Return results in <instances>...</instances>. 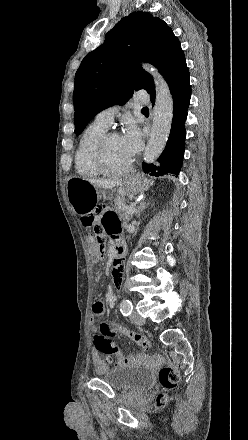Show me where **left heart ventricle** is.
I'll list each match as a JSON object with an SVG mask.
<instances>
[{
	"label": "left heart ventricle",
	"instance_id": "obj_1",
	"mask_svg": "<svg viewBox=\"0 0 248 440\" xmlns=\"http://www.w3.org/2000/svg\"><path fill=\"white\" fill-rule=\"evenodd\" d=\"M106 159L108 165L113 169L124 168L132 161L123 147L120 136H113L108 141Z\"/></svg>",
	"mask_w": 248,
	"mask_h": 440
}]
</instances>
